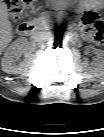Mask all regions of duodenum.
Returning <instances> with one entry per match:
<instances>
[{
	"label": "duodenum",
	"mask_w": 104,
	"mask_h": 137,
	"mask_svg": "<svg viewBox=\"0 0 104 137\" xmlns=\"http://www.w3.org/2000/svg\"><path fill=\"white\" fill-rule=\"evenodd\" d=\"M35 30V24L32 22H22L18 26V32L22 36H29Z\"/></svg>",
	"instance_id": "410a0bca"
}]
</instances>
